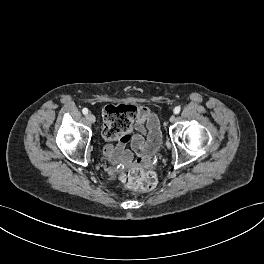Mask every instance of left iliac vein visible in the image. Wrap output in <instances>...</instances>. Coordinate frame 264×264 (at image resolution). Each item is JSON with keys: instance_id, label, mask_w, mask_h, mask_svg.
I'll list each match as a JSON object with an SVG mask.
<instances>
[{"instance_id": "4c4485c4", "label": "left iliac vein", "mask_w": 264, "mask_h": 264, "mask_svg": "<svg viewBox=\"0 0 264 264\" xmlns=\"http://www.w3.org/2000/svg\"><path fill=\"white\" fill-rule=\"evenodd\" d=\"M175 120H176V117H175L174 115H172V116L170 117V119H169V121H170L171 123L175 122Z\"/></svg>"}]
</instances>
